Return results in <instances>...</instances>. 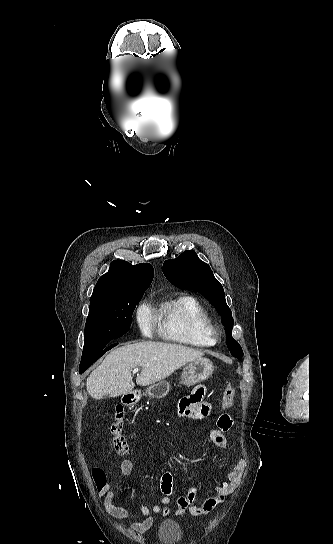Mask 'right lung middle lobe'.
<instances>
[{
	"instance_id": "right-lung-middle-lobe-1",
	"label": "right lung middle lobe",
	"mask_w": 333,
	"mask_h": 544,
	"mask_svg": "<svg viewBox=\"0 0 333 544\" xmlns=\"http://www.w3.org/2000/svg\"><path fill=\"white\" fill-rule=\"evenodd\" d=\"M143 292L125 297L90 302L85 325L84 349L80 368L99 359L112 348L109 342L124 335L131 326V317Z\"/></svg>"
}]
</instances>
